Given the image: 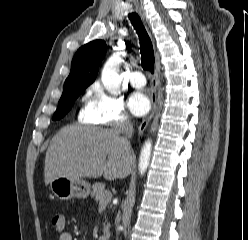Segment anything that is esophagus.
<instances>
[{
  "label": "esophagus",
  "instance_id": "1",
  "mask_svg": "<svg viewBox=\"0 0 248 240\" xmlns=\"http://www.w3.org/2000/svg\"><path fill=\"white\" fill-rule=\"evenodd\" d=\"M141 14V12L139 11ZM160 86V56L158 52H156L155 55V66H154V75L152 79V94H151V103H152V109L149 113V115L141 122L138 133L142 134L146 127L148 126L149 122L151 121L152 117L154 116V113L157 108V92Z\"/></svg>",
  "mask_w": 248,
  "mask_h": 240
}]
</instances>
